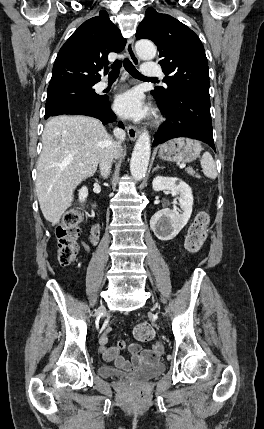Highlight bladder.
I'll use <instances>...</instances> for the list:
<instances>
[{
	"label": "bladder",
	"mask_w": 264,
	"mask_h": 429,
	"mask_svg": "<svg viewBox=\"0 0 264 429\" xmlns=\"http://www.w3.org/2000/svg\"><path fill=\"white\" fill-rule=\"evenodd\" d=\"M164 370L165 365L160 360H157L152 364L139 367L128 373L119 372L111 367L104 366L100 368L99 374L103 377H117L125 378L134 382H144L158 377L164 372Z\"/></svg>",
	"instance_id": "31cf9c89"
}]
</instances>
